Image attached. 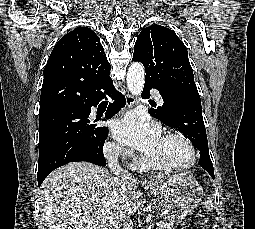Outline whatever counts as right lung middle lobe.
<instances>
[{"label": "right lung middle lobe", "mask_w": 255, "mask_h": 229, "mask_svg": "<svg viewBox=\"0 0 255 229\" xmlns=\"http://www.w3.org/2000/svg\"><path fill=\"white\" fill-rule=\"evenodd\" d=\"M88 116L76 109H61L39 116V173L69 162L97 160L104 156V129L91 124Z\"/></svg>", "instance_id": "obj_1"}]
</instances>
